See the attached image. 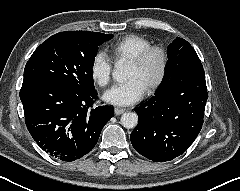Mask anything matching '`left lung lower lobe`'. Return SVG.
<instances>
[{
    "label": "left lung lower lobe",
    "instance_id": "obj_1",
    "mask_svg": "<svg viewBox=\"0 0 240 191\" xmlns=\"http://www.w3.org/2000/svg\"><path fill=\"white\" fill-rule=\"evenodd\" d=\"M207 98L204 69L192 67L170 79L135 109L139 121L130 135L134 149L156 162L183 154L202 128Z\"/></svg>",
    "mask_w": 240,
    "mask_h": 191
}]
</instances>
